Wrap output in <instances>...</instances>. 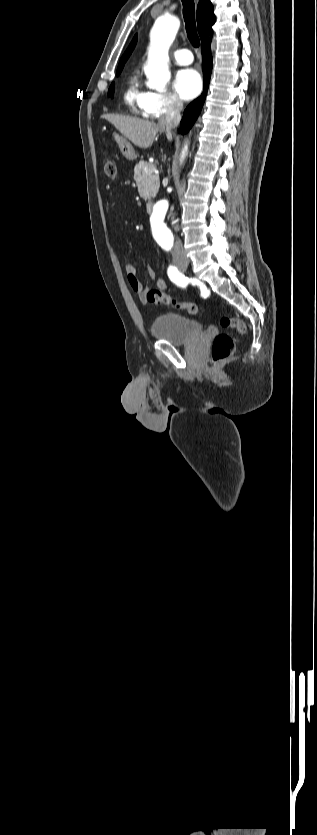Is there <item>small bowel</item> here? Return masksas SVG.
Wrapping results in <instances>:
<instances>
[{"mask_svg": "<svg viewBox=\"0 0 317 835\" xmlns=\"http://www.w3.org/2000/svg\"><path fill=\"white\" fill-rule=\"evenodd\" d=\"M125 270H126V273H127L128 283H129L131 289L139 295V297L142 301H144L146 288H144V286L142 285V283L138 279L136 268L132 264H128L126 266ZM148 275L152 280L155 281L156 286H157L158 289H160V290H166L167 289L166 281L163 278L157 276V273L152 266L148 267Z\"/></svg>", "mask_w": 317, "mask_h": 835, "instance_id": "c3829d8e", "label": "small bowel"}]
</instances>
